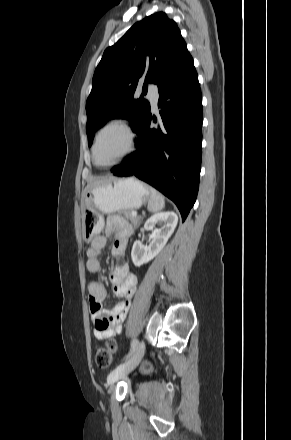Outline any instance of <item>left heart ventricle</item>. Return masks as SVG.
Here are the masks:
<instances>
[{
  "instance_id": "1",
  "label": "left heart ventricle",
  "mask_w": 291,
  "mask_h": 440,
  "mask_svg": "<svg viewBox=\"0 0 291 440\" xmlns=\"http://www.w3.org/2000/svg\"><path fill=\"white\" fill-rule=\"evenodd\" d=\"M126 149V135L119 129L105 132L97 145L96 162L106 164L118 159Z\"/></svg>"
}]
</instances>
